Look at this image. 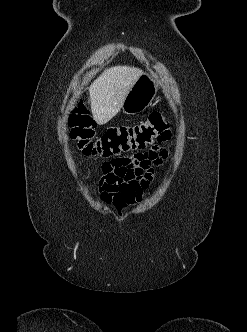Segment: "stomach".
<instances>
[{
    "instance_id": "1",
    "label": "stomach",
    "mask_w": 247,
    "mask_h": 332,
    "mask_svg": "<svg viewBox=\"0 0 247 332\" xmlns=\"http://www.w3.org/2000/svg\"><path fill=\"white\" fill-rule=\"evenodd\" d=\"M158 91L156 79L148 74L142 73L127 93L122 111L128 115H135L149 107Z\"/></svg>"
}]
</instances>
